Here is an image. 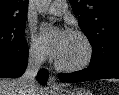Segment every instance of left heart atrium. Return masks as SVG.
<instances>
[{"label":"left heart atrium","instance_id":"39dd6f15","mask_svg":"<svg viewBox=\"0 0 119 95\" xmlns=\"http://www.w3.org/2000/svg\"><path fill=\"white\" fill-rule=\"evenodd\" d=\"M72 33L68 30L54 32L51 26L44 25L39 35V43L55 59H58L64 52Z\"/></svg>","mask_w":119,"mask_h":95}]
</instances>
